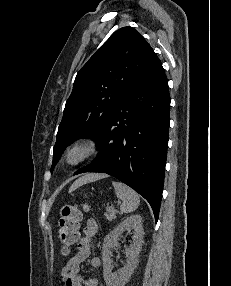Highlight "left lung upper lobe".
I'll return each instance as SVG.
<instances>
[{"label": "left lung upper lobe", "instance_id": "obj_1", "mask_svg": "<svg viewBox=\"0 0 231 286\" xmlns=\"http://www.w3.org/2000/svg\"><path fill=\"white\" fill-rule=\"evenodd\" d=\"M160 60L131 27L117 30L78 72L66 102L53 150V166L73 141L94 139L122 97Z\"/></svg>", "mask_w": 231, "mask_h": 286}]
</instances>
